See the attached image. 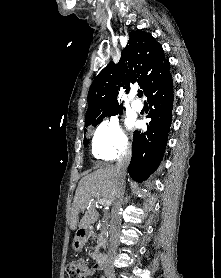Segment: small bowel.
Here are the masks:
<instances>
[{
    "label": "small bowel",
    "mask_w": 221,
    "mask_h": 278,
    "mask_svg": "<svg viewBox=\"0 0 221 278\" xmlns=\"http://www.w3.org/2000/svg\"><path fill=\"white\" fill-rule=\"evenodd\" d=\"M96 270L97 269L95 267L90 268L88 275L90 276L94 275L96 273Z\"/></svg>",
    "instance_id": "small-bowel-1"
}]
</instances>
